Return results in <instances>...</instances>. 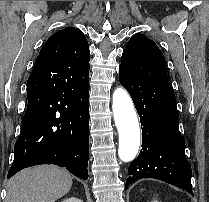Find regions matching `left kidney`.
<instances>
[{
	"label": "left kidney",
	"mask_w": 209,
	"mask_h": 202,
	"mask_svg": "<svg viewBox=\"0 0 209 202\" xmlns=\"http://www.w3.org/2000/svg\"><path fill=\"white\" fill-rule=\"evenodd\" d=\"M151 202H159V201H157V200H153V201H151Z\"/></svg>",
	"instance_id": "obj_1"
}]
</instances>
